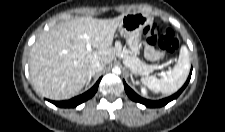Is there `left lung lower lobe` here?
Segmentation results:
<instances>
[{
	"label": "left lung lower lobe",
	"instance_id": "1",
	"mask_svg": "<svg viewBox=\"0 0 225 132\" xmlns=\"http://www.w3.org/2000/svg\"><path fill=\"white\" fill-rule=\"evenodd\" d=\"M191 73H192V70H191ZM191 73L186 81V83L183 85V87L177 92L175 93L174 95L168 97V98H164L162 100H158V101H151V100H146L144 98H141L140 96H138L126 83L125 81L124 82V88H125V91L127 93V95L133 100V101H136V102H139V103H142L144 104L145 106L147 107H162L164 105H166L168 102L176 99L180 94L181 92L185 89V87L187 86L190 78H191Z\"/></svg>",
	"mask_w": 225,
	"mask_h": 132
}]
</instances>
